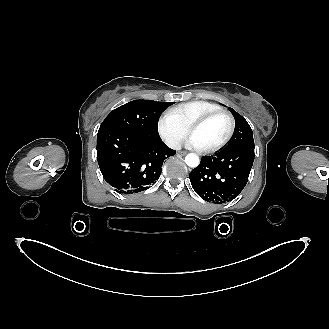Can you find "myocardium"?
Instances as JSON below:
<instances>
[{"label": "myocardium", "instance_id": "myocardium-1", "mask_svg": "<svg viewBox=\"0 0 329 329\" xmlns=\"http://www.w3.org/2000/svg\"><path fill=\"white\" fill-rule=\"evenodd\" d=\"M218 116H225L228 119V121H229L228 133L225 136V138L221 142H219L218 144H216V145H214L210 148H201L200 151L202 153L216 152V151L220 150L221 148H223L231 140V138L234 134V131H235V119H234V117L232 116V114L229 111L224 110V109H220V110H216V111H213L211 113H208V114L196 119L188 127V132H189V134H191L192 131L195 128L205 124L209 120H211L215 117H218Z\"/></svg>", "mask_w": 329, "mask_h": 329}]
</instances>
